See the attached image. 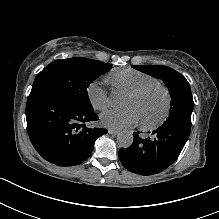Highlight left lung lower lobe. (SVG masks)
<instances>
[{
	"instance_id": "left-lung-lower-lobe-1",
	"label": "left lung lower lobe",
	"mask_w": 219,
	"mask_h": 219,
	"mask_svg": "<svg viewBox=\"0 0 219 219\" xmlns=\"http://www.w3.org/2000/svg\"><path fill=\"white\" fill-rule=\"evenodd\" d=\"M191 125L182 122L164 123L147 138L134 132L130 147L120 149L121 164L140 175L157 174L168 168L180 155L189 135Z\"/></svg>"
}]
</instances>
